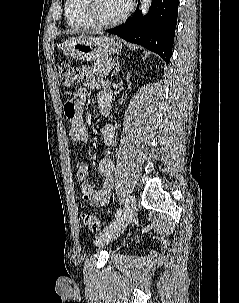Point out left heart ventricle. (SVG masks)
<instances>
[{
	"label": "left heart ventricle",
	"mask_w": 239,
	"mask_h": 303,
	"mask_svg": "<svg viewBox=\"0 0 239 303\" xmlns=\"http://www.w3.org/2000/svg\"><path fill=\"white\" fill-rule=\"evenodd\" d=\"M127 6L125 0H97L95 15L103 21L113 20L120 16Z\"/></svg>",
	"instance_id": "1"
}]
</instances>
